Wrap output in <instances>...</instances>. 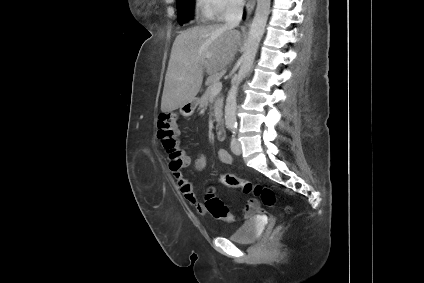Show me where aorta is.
Segmentation results:
<instances>
[{
    "label": "aorta",
    "mask_w": 424,
    "mask_h": 283,
    "mask_svg": "<svg viewBox=\"0 0 424 283\" xmlns=\"http://www.w3.org/2000/svg\"><path fill=\"white\" fill-rule=\"evenodd\" d=\"M271 0H257L255 15L250 27L248 38L244 44V52L241 57V66L238 74L235 76L232 86L228 91L225 105V124L227 127H235L237 93L240 83L250 72L253 65L259 43L265 31L268 15L270 12Z\"/></svg>",
    "instance_id": "762f6f07"
}]
</instances>
